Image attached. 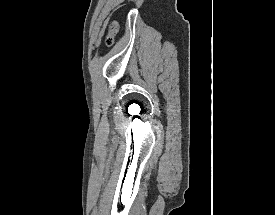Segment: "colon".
I'll list each match as a JSON object with an SVG mask.
<instances>
[{
	"label": "colon",
	"mask_w": 275,
	"mask_h": 215,
	"mask_svg": "<svg viewBox=\"0 0 275 215\" xmlns=\"http://www.w3.org/2000/svg\"><path fill=\"white\" fill-rule=\"evenodd\" d=\"M108 32H109V36L106 40L107 45H111L113 42V36L116 34L117 32V24L116 22H111L108 26Z\"/></svg>",
	"instance_id": "obj_1"
}]
</instances>
